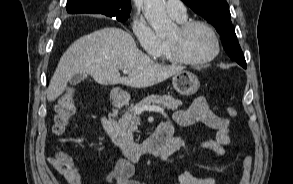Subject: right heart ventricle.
Here are the masks:
<instances>
[{
  "label": "right heart ventricle",
  "instance_id": "obj_1",
  "mask_svg": "<svg viewBox=\"0 0 293 184\" xmlns=\"http://www.w3.org/2000/svg\"><path fill=\"white\" fill-rule=\"evenodd\" d=\"M177 22L182 23L186 21V18L183 19H176ZM160 59L165 60V61H174L171 57L169 46H168V41H163V47L162 50L158 56Z\"/></svg>",
  "mask_w": 293,
  "mask_h": 184
}]
</instances>
